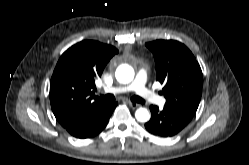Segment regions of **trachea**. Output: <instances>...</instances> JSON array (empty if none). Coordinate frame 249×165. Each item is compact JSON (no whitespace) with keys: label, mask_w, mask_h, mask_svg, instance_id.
<instances>
[{"label":"trachea","mask_w":249,"mask_h":165,"mask_svg":"<svg viewBox=\"0 0 249 165\" xmlns=\"http://www.w3.org/2000/svg\"><path fill=\"white\" fill-rule=\"evenodd\" d=\"M102 98L106 101H114L115 100V96L113 94H106V95H102ZM131 101L136 102V103H145V100H143L141 97L139 96H133L131 98Z\"/></svg>","instance_id":"trachea-1"}]
</instances>
